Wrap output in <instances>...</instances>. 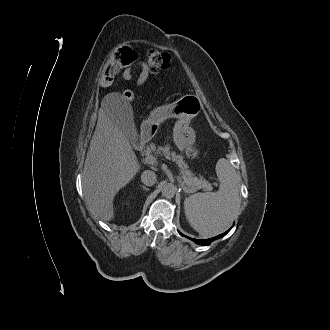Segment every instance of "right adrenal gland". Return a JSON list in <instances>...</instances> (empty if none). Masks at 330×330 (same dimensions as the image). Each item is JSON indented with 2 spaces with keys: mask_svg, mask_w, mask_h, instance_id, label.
I'll return each instance as SVG.
<instances>
[{
  "mask_svg": "<svg viewBox=\"0 0 330 330\" xmlns=\"http://www.w3.org/2000/svg\"><path fill=\"white\" fill-rule=\"evenodd\" d=\"M141 186V188H143L145 191H148L149 190V188H147L146 186H144V185H140Z\"/></svg>",
  "mask_w": 330,
  "mask_h": 330,
  "instance_id": "obj_1",
  "label": "right adrenal gland"
}]
</instances>
